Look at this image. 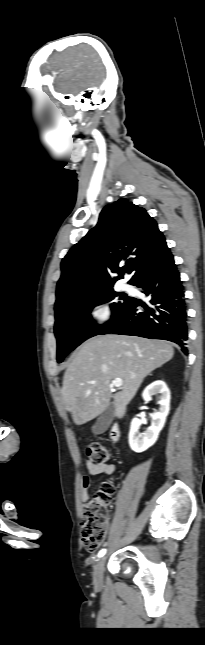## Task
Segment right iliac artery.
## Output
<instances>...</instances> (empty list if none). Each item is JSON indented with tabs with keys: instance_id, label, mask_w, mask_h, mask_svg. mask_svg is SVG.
Masks as SVG:
<instances>
[{
	"instance_id": "obj_1",
	"label": "right iliac artery",
	"mask_w": 205,
	"mask_h": 645,
	"mask_svg": "<svg viewBox=\"0 0 205 645\" xmlns=\"http://www.w3.org/2000/svg\"><path fill=\"white\" fill-rule=\"evenodd\" d=\"M105 553H106V549H102V550H100V551H99V553H98V557H102V556H104V555H105Z\"/></svg>"
}]
</instances>
